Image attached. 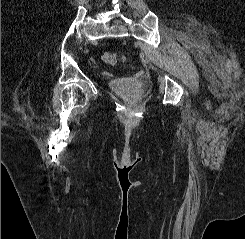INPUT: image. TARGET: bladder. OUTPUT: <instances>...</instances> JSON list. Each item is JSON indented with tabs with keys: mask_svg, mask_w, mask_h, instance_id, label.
<instances>
[{
	"mask_svg": "<svg viewBox=\"0 0 245 239\" xmlns=\"http://www.w3.org/2000/svg\"><path fill=\"white\" fill-rule=\"evenodd\" d=\"M109 87L112 91L133 99L141 98L148 89L146 84L137 83L133 78L110 81Z\"/></svg>",
	"mask_w": 245,
	"mask_h": 239,
	"instance_id": "31cf9c89",
	"label": "bladder"
}]
</instances>
